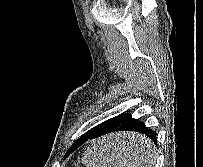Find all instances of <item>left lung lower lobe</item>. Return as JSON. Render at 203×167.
I'll list each match as a JSON object with an SVG mask.
<instances>
[{
	"label": "left lung lower lobe",
	"instance_id": "left-lung-lower-lobe-1",
	"mask_svg": "<svg viewBox=\"0 0 203 167\" xmlns=\"http://www.w3.org/2000/svg\"><path fill=\"white\" fill-rule=\"evenodd\" d=\"M115 131H136L142 134H145L147 137H149L155 144H157V138H156V132L148 127L146 125L134 118L131 117L130 114H120L116 117H113L111 119H108L101 123L90 135H86L84 137H80L73 145L72 148L67 152V156L72 153L74 150H76L79 146H81L83 143H85L89 139H95L107 134H110ZM111 136V135H109ZM107 136V137H109ZM107 137L99 139H106ZM105 144V143H104ZM106 144H109V148L113 150H120V149H126V150H135L136 154L141 150V146H136L134 143H128L126 141L124 142H116L111 141L109 143L106 142ZM143 150L146 151L147 147H144Z\"/></svg>",
	"mask_w": 203,
	"mask_h": 167
}]
</instances>
